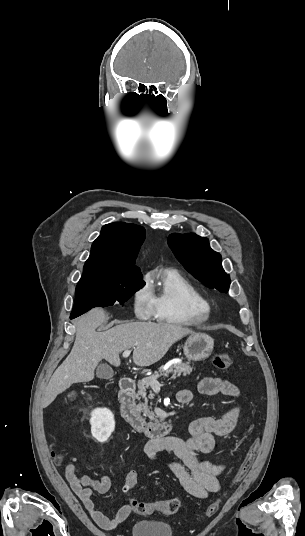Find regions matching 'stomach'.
Returning <instances> with one entry per match:
<instances>
[{
	"label": "stomach",
	"instance_id": "stomach-1",
	"mask_svg": "<svg viewBox=\"0 0 305 536\" xmlns=\"http://www.w3.org/2000/svg\"><path fill=\"white\" fill-rule=\"evenodd\" d=\"M214 340L208 334H192L186 340L183 350L188 360H206L213 352Z\"/></svg>",
	"mask_w": 305,
	"mask_h": 536
}]
</instances>
